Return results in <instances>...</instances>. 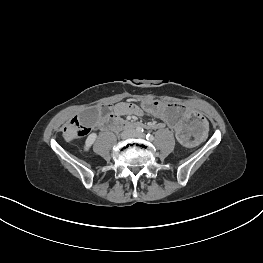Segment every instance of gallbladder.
Returning <instances> with one entry per match:
<instances>
[{"mask_svg": "<svg viewBox=\"0 0 263 263\" xmlns=\"http://www.w3.org/2000/svg\"><path fill=\"white\" fill-rule=\"evenodd\" d=\"M80 118L83 124L87 126H93L97 123L99 118V110L96 107L85 109L81 114Z\"/></svg>", "mask_w": 263, "mask_h": 263, "instance_id": "bac80fb5", "label": "gallbladder"}]
</instances>
